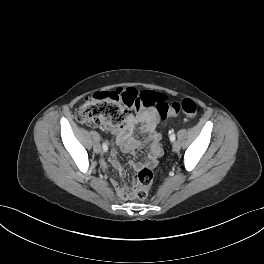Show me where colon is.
<instances>
[{"label": "colon", "mask_w": 264, "mask_h": 264, "mask_svg": "<svg viewBox=\"0 0 264 264\" xmlns=\"http://www.w3.org/2000/svg\"><path fill=\"white\" fill-rule=\"evenodd\" d=\"M154 108L161 120L170 115L182 113L192 119L199 114V105L192 99L185 98L169 104L163 93L155 91H138L134 88L102 91L88 98L75 111L78 122L91 126L116 128L130 110ZM153 182L150 168H142L135 176L130 190L131 197L145 200Z\"/></svg>", "instance_id": "obj_1"}]
</instances>
